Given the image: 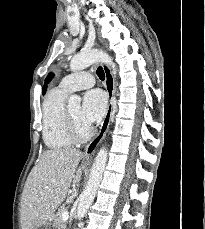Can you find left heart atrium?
<instances>
[{
    "mask_svg": "<svg viewBox=\"0 0 205 229\" xmlns=\"http://www.w3.org/2000/svg\"><path fill=\"white\" fill-rule=\"evenodd\" d=\"M107 108V96L100 89L85 93L81 107V119L89 126L103 117Z\"/></svg>",
    "mask_w": 205,
    "mask_h": 229,
    "instance_id": "obj_1",
    "label": "left heart atrium"
}]
</instances>
